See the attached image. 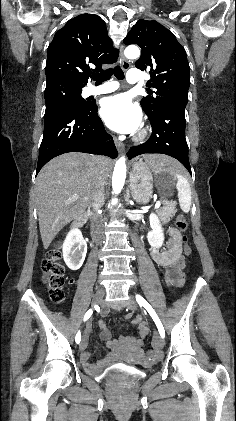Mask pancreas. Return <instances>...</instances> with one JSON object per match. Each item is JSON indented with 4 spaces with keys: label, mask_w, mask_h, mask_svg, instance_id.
Segmentation results:
<instances>
[{
    "label": "pancreas",
    "mask_w": 236,
    "mask_h": 421,
    "mask_svg": "<svg viewBox=\"0 0 236 421\" xmlns=\"http://www.w3.org/2000/svg\"><path fill=\"white\" fill-rule=\"evenodd\" d=\"M164 206H160L158 211H156L159 219L165 223H169L171 217H175L177 213V208L175 202H169V200H165L163 202Z\"/></svg>",
    "instance_id": "cf45deb5"
}]
</instances>
